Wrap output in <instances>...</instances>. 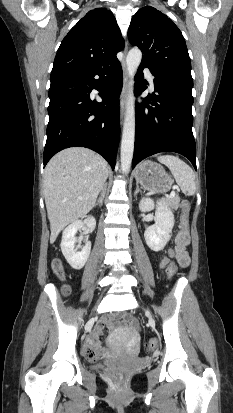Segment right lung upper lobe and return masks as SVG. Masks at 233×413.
Here are the masks:
<instances>
[{
  "mask_svg": "<svg viewBox=\"0 0 233 413\" xmlns=\"http://www.w3.org/2000/svg\"><path fill=\"white\" fill-rule=\"evenodd\" d=\"M124 40L112 12L89 11L65 36L57 51L50 78L77 73L116 59Z\"/></svg>",
  "mask_w": 233,
  "mask_h": 413,
  "instance_id": "cb5924a9",
  "label": "right lung upper lobe"
}]
</instances>
